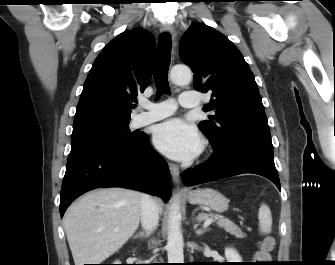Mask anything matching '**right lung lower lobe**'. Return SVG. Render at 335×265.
Masks as SVG:
<instances>
[{
	"instance_id": "obj_1",
	"label": "right lung lower lobe",
	"mask_w": 335,
	"mask_h": 265,
	"mask_svg": "<svg viewBox=\"0 0 335 265\" xmlns=\"http://www.w3.org/2000/svg\"><path fill=\"white\" fill-rule=\"evenodd\" d=\"M100 187L144 191L167 202L171 195L170 172L146 134L128 145L71 150L60 194L61 217L77 197Z\"/></svg>"
}]
</instances>
